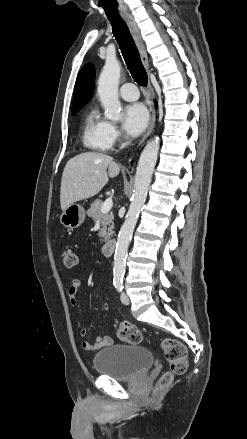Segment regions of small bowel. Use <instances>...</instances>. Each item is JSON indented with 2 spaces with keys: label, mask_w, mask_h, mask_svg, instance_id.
I'll return each mask as SVG.
<instances>
[{
  "label": "small bowel",
  "mask_w": 247,
  "mask_h": 439,
  "mask_svg": "<svg viewBox=\"0 0 247 439\" xmlns=\"http://www.w3.org/2000/svg\"><path fill=\"white\" fill-rule=\"evenodd\" d=\"M82 286V282L80 279L75 278L71 281V284L69 286L68 289V294H69V298H70V303L72 306H76L77 305V299H76V295L79 292L80 288ZM103 310L104 311H108L109 310V305L105 304L103 306ZM87 328L84 324L81 325L80 327V335L82 337H86L87 336ZM114 343V339L110 336L107 335H101L98 334L96 337V341L92 342V341H84L82 343V347L84 350L87 351H97L98 349L105 347V346H110Z\"/></svg>",
  "instance_id": "obj_1"
}]
</instances>
